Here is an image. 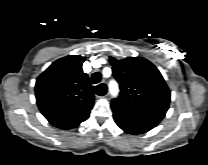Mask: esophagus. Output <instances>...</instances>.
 Returning a JSON list of instances; mask_svg holds the SVG:
<instances>
[{"mask_svg": "<svg viewBox=\"0 0 208 165\" xmlns=\"http://www.w3.org/2000/svg\"><path fill=\"white\" fill-rule=\"evenodd\" d=\"M101 84L104 85V86L106 87V93H105V95L103 96V97H105V96L108 95V87H107V84L104 83V82H102Z\"/></svg>", "mask_w": 208, "mask_h": 165, "instance_id": "34e87169", "label": "esophagus"}]
</instances>
